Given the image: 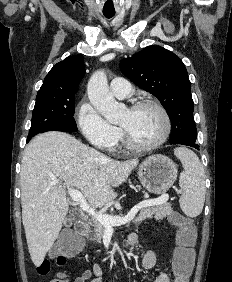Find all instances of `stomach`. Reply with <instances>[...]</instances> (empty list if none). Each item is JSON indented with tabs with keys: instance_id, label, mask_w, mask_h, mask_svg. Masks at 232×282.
<instances>
[{
	"instance_id": "obj_1",
	"label": "stomach",
	"mask_w": 232,
	"mask_h": 282,
	"mask_svg": "<svg viewBox=\"0 0 232 282\" xmlns=\"http://www.w3.org/2000/svg\"><path fill=\"white\" fill-rule=\"evenodd\" d=\"M141 185L152 194L169 190L177 178V165L167 156L156 154L146 158L137 169Z\"/></svg>"
}]
</instances>
